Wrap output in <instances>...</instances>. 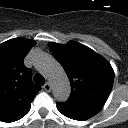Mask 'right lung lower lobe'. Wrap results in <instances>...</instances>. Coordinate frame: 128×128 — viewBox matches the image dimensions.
Returning a JSON list of instances; mask_svg holds the SVG:
<instances>
[{"mask_svg":"<svg viewBox=\"0 0 128 128\" xmlns=\"http://www.w3.org/2000/svg\"><path fill=\"white\" fill-rule=\"evenodd\" d=\"M30 110V105L27 106L23 111H21L20 113L16 114L15 116H12L11 118L3 121V122H13L16 120H19L20 118L24 117Z\"/></svg>","mask_w":128,"mask_h":128,"instance_id":"98d812e1","label":"right lung lower lobe"}]
</instances>
